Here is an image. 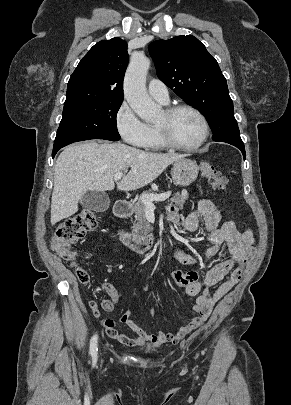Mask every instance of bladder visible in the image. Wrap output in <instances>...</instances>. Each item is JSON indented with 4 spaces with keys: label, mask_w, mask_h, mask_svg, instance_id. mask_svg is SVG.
I'll use <instances>...</instances> for the list:
<instances>
[{
    "label": "bladder",
    "mask_w": 291,
    "mask_h": 405,
    "mask_svg": "<svg viewBox=\"0 0 291 405\" xmlns=\"http://www.w3.org/2000/svg\"><path fill=\"white\" fill-rule=\"evenodd\" d=\"M144 349H145L146 351H152V350H153V347L150 346V345H148V346H145Z\"/></svg>",
    "instance_id": "31cf9c89"
}]
</instances>
